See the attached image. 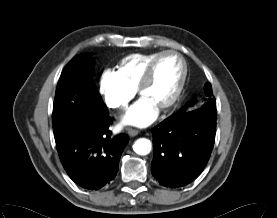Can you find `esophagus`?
<instances>
[{
  "instance_id": "1",
  "label": "esophagus",
  "mask_w": 277,
  "mask_h": 218,
  "mask_svg": "<svg viewBox=\"0 0 277 218\" xmlns=\"http://www.w3.org/2000/svg\"><path fill=\"white\" fill-rule=\"evenodd\" d=\"M126 132H127V134H128L130 137H135V136L138 135V133H139L138 130L133 129V128H127V129H126Z\"/></svg>"
}]
</instances>
